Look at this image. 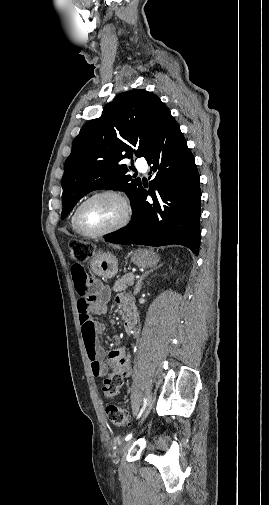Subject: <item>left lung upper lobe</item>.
<instances>
[{
	"label": "left lung upper lobe",
	"instance_id": "1",
	"mask_svg": "<svg viewBox=\"0 0 269 505\" xmlns=\"http://www.w3.org/2000/svg\"><path fill=\"white\" fill-rule=\"evenodd\" d=\"M169 112L155 94L133 89L117 95L100 118L87 122L65 162L61 219L83 196L97 189L124 190L132 206L141 181L128 175L133 167L120 161L134 155L145 157L156 128Z\"/></svg>",
	"mask_w": 269,
	"mask_h": 505
}]
</instances>
